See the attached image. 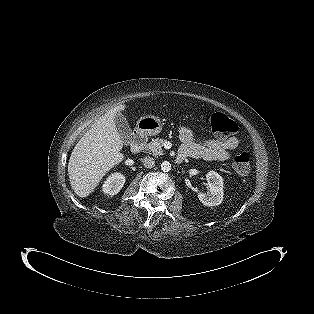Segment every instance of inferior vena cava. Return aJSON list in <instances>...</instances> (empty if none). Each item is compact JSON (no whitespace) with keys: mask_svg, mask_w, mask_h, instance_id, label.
Returning <instances> with one entry per match:
<instances>
[{"mask_svg":"<svg viewBox=\"0 0 314 314\" xmlns=\"http://www.w3.org/2000/svg\"><path fill=\"white\" fill-rule=\"evenodd\" d=\"M142 163L145 168H153L155 166V160L152 157H144Z\"/></svg>","mask_w":314,"mask_h":314,"instance_id":"602c4592","label":"inferior vena cava"}]
</instances>
